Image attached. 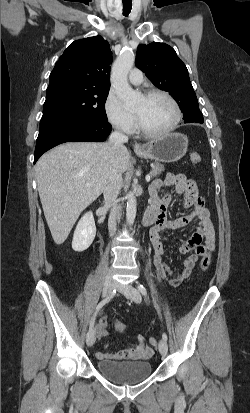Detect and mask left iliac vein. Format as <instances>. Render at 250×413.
I'll list each match as a JSON object with an SVG mask.
<instances>
[{
  "label": "left iliac vein",
  "instance_id": "1",
  "mask_svg": "<svg viewBox=\"0 0 250 413\" xmlns=\"http://www.w3.org/2000/svg\"><path fill=\"white\" fill-rule=\"evenodd\" d=\"M116 288L119 292H121L126 298L134 301L135 303L141 302V295L140 292L132 285H116ZM168 351L167 342L164 339H161L159 342V352L161 355L165 356Z\"/></svg>",
  "mask_w": 250,
  "mask_h": 413
}]
</instances>
